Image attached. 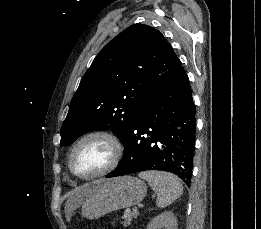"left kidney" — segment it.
I'll return each mask as SVG.
<instances>
[{"mask_svg":"<svg viewBox=\"0 0 261 229\" xmlns=\"http://www.w3.org/2000/svg\"><path fill=\"white\" fill-rule=\"evenodd\" d=\"M177 219L174 217L171 211H166V213H162V215H158V217H154L151 223L147 225V229H177Z\"/></svg>","mask_w":261,"mask_h":229,"instance_id":"left-kidney-1","label":"left kidney"}]
</instances>
